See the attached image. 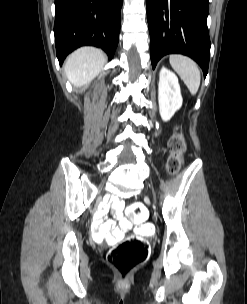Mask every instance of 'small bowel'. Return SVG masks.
<instances>
[{"instance_id": "c3829d8e", "label": "small bowel", "mask_w": 247, "mask_h": 304, "mask_svg": "<svg viewBox=\"0 0 247 304\" xmlns=\"http://www.w3.org/2000/svg\"><path fill=\"white\" fill-rule=\"evenodd\" d=\"M122 201L113 197H108L103 202L96 213L92 224L93 239L96 242L114 243L123 238L124 233L131 228L130 222L121 218L120 208ZM110 207L116 210V217L119 218V226L115 227V221L113 219H106L105 216L108 213Z\"/></svg>"}]
</instances>
